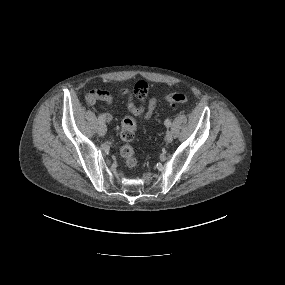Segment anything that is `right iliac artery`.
<instances>
[{
	"instance_id": "1",
	"label": "right iliac artery",
	"mask_w": 285,
	"mask_h": 285,
	"mask_svg": "<svg viewBox=\"0 0 285 285\" xmlns=\"http://www.w3.org/2000/svg\"><path fill=\"white\" fill-rule=\"evenodd\" d=\"M98 122H99L100 124H103V123H104V120H103V118H102L101 116L98 117Z\"/></svg>"
}]
</instances>
